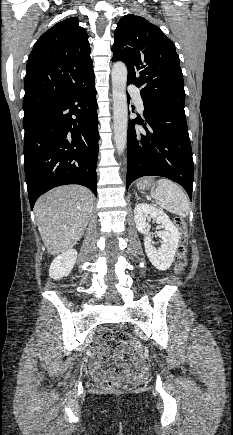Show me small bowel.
<instances>
[{"instance_id":"1","label":"small bowel","mask_w":233,"mask_h":435,"mask_svg":"<svg viewBox=\"0 0 233 435\" xmlns=\"http://www.w3.org/2000/svg\"><path fill=\"white\" fill-rule=\"evenodd\" d=\"M100 350L98 351L99 356L105 355V350L102 347H99ZM114 355L116 357H122V356H131L133 358V362L136 366V371L140 374H144L147 371V367L144 363V361L141 358V354L137 349H133L129 346H119L115 349ZM134 369H126L127 372H132ZM108 371H105L99 362H93L90 366V373L95 379H99L103 377Z\"/></svg>"}]
</instances>
